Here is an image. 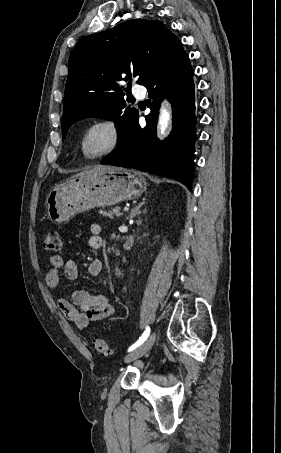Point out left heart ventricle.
<instances>
[{"instance_id":"b2bd125f","label":"left heart ventricle","mask_w":281,"mask_h":453,"mask_svg":"<svg viewBox=\"0 0 281 453\" xmlns=\"http://www.w3.org/2000/svg\"><path fill=\"white\" fill-rule=\"evenodd\" d=\"M102 140H103V135L100 134V133L95 134V135L91 138V141H92V142H99V141H102Z\"/></svg>"}]
</instances>
